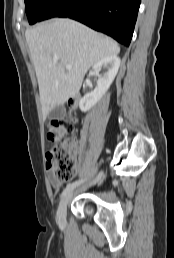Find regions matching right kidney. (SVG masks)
I'll return each mask as SVG.
<instances>
[{
  "label": "right kidney",
  "instance_id": "ca27d5eb",
  "mask_svg": "<svg viewBox=\"0 0 174 258\" xmlns=\"http://www.w3.org/2000/svg\"><path fill=\"white\" fill-rule=\"evenodd\" d=\"M119 67L120 58L117 56L105 57L93 65V71L96 74L102 68H106L107 71L97 80L96 89L80 99L79 107L82 112L90 110L103 97L115 79Z\"/></svg>",
  "mask_w": 174,
  "mask_h": 258
}]
</instances>
